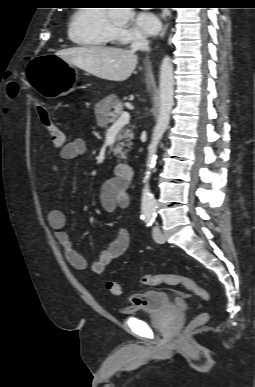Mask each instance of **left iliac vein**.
I'll use <instances>...</instances> for the list:
<instances>
[{
    "label": "left iliac vein",
    "mask_w": 255,
    "mask_h": 387,
    "mask_svg": "<svg viewBox=\"0 0 255 387\" xmlns=\"http://www.w3.org/2000/svg\"><path fill=\"white\" fill-rule=\"evenodd\" d=\"M152 235H153V239L157 242V243H164L165 242V237L164 235L162 234L161 230L159 227L157 226H154L153 229H152Z\"/></svg>",
    "instance_id": "left-iliac-vein-1"
}]
</instances>
